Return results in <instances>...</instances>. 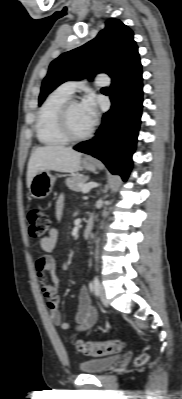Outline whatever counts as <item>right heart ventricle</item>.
<instances>
[{"instance_id": "right-heart-ventricle-1", "label": "right heart ventricle", "mask_w": 182, "mask_h": 399, "mask_svg": "<svg viewBox=\"0 0 182 399\" xmlns=\"http://www.w3.org/2000/svg\"><path fill=\"white\" fill-rule=\"evenodd\" d=\"M70 96L71 94L59 87L51 92L43 102L35 126L37 138L42 144L60 146L68 142L59 130L58 113Z\"/></svg>"}]
</instances>
